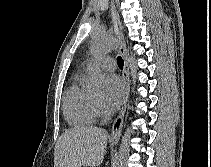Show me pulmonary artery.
<instances>
[{"label":"pulmonary artery","mask_w":211,"mask_h":167,"mask_svg":"<svg viewBox=\"0 0 211 167\" xmlns=\"http://www.w3.org/2000/svg\"><path fill=\"white\" fill-rule=\"evenodd\" d=\"M92 65L91 62H87L86 66L90 67ZM98 66L107 71H113L116 68V62L111 57H105L98 62Z\"/></svg>","instance_id":"obj_1"}]
</instances>
